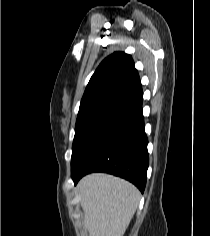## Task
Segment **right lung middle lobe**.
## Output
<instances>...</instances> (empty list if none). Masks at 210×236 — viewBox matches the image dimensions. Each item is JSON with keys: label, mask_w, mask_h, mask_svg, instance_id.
Returning <instances> with one entry per match:
<instances>
[{"label": "right lung middle lobe", "mask_w": 210, "mask_h": 236, "mask_svg": "<svg viewBox=\"0 0 210 236\" xmlns=\"http://www.w3.org/2000/svg\"><path fill=\"white\" fill-rule=\"evenodd\" d=\"M132 93V91L127 89H119L103 97L90 100L80 105L75 126L72 158L78 151L84 139L96 125L116 109Z\"/></svg>", "instance_id": "obj_1"}]
</instances>
